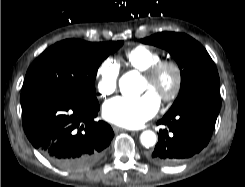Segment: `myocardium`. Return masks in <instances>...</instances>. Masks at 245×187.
I'll list each match as a JSON object with an SVG mask.
<instances>
[{
	"label": "myocardium",
	"mask_w": 245,
	"mask_h": 187,
	"mask_svg": "<svg viewBox=\"0 0 245 187\" xmlns=\"http://www.w3.org/2000/svg\"><path fill=\"white\" fill-rule=\"evenodd\" d=\"M169 71L173 75V85L169 92L161 94L159 97L163 102L169 103L174 101L180 94L183 86V72L180 65L169 59H163L152 64L145 72V77L155 83L160 76Z\"/></svg>",
	"instance_id": "obj_1"
}]
</instances>
